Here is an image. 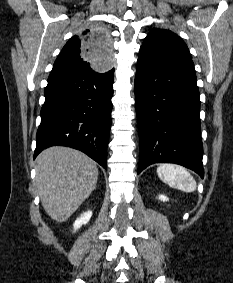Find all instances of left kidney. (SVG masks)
I'll return each instance as SVG.
<instances>
[{"label":"left kidney","mask_w":233,"mask_h":283,"mask_svg":"<svg viewBox=\"0 0 233 283\" xmlns=\"http://www.w3.org/2000/svg\"><path fill=\"white\" fill-rule=\"evenodd\" d=\"M159 200L165 202L168 201V198L165 195H159Z\"/></svg>","instance_id":"left-kidney-1"}]
</instances>
